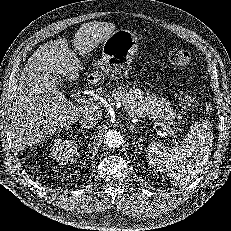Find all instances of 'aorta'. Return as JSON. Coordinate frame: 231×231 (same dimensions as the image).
<instances>
[{
	"label": "aorta",
	"instance_id": "762f6f07",
	"mask_svg": "<svg viewBox=\"0 0 231 231\" xmlns=\"http://www.w3.org/2000/svg\"><path fill=\"white\" fill-rule=\"evenodd\" d=\"M104 143L109 148H118L123 143V136L117 130H109L104 135Z\"/></svg>",
	"mask_w": 231,
	"mask_h": 231
}]
</instances>
